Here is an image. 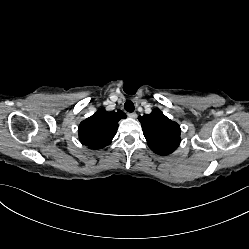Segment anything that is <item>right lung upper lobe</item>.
I'll list each match as a JSON object with an SVG mask.
<instances>
[{
    "label": "right lung upper lobe",
    "mask_w": 249,
    "mask_h": 249,
    "mask_svg": "<svg viewBox=\"0 0 249 249\" xmlns=\"http://www.w3.org/2000/svg\"><path fill=\"white\" fill-rule=\"evenodd\" d=\"M122 118H126L123 111L107 112L105 109H99L80 123L78 129L80 142L91 149H101L109 145Z\"/></svg>",
    "instance_id": "obj_1"
}]
</instances>
